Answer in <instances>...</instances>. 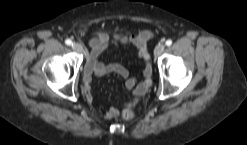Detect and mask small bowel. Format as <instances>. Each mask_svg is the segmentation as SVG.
<instances>
[{
    "label": "small bowel",
    "mask_w": 247,
    "mask_h": 145,
    "mask_svg": "<svg viewBox=\"0 0 247 145\" xmlns=\"http://www.w3.org/2000/svg\"><path fill=\"white\" fill-rule=\"evenodd\" d=\"M151 34L147 31L140 32L134 35H126L124 33H116L113 39L103 32H99L90 42L91 51L87 64L84 69L82 92L87 102L91 103L94 96V90L90 83L93 75L102 77L110 73H115L125 79V87L131 92L132 96L124 104V108H132L136 106L142 96L146 93L152 84V66L150 56L147 49V41ZM111 45H132L137 48L138 57L143 63V80L138 83L137 78L130 75L129 70L121 64L104 63L99 60L100 55ZM99 114H103V109L100 106L96 107ZM119 115V109L111 107L104 116L106 118H114Z\"/></svg>",
    "instance_id": "1"
}]
</instances>
